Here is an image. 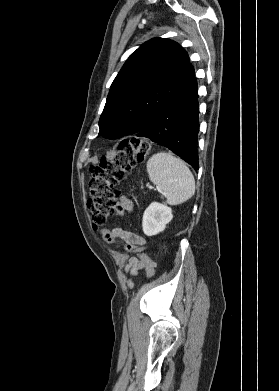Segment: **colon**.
Returning a JSON list of instances; mask_svg holds the SVG:
<instances>
[{"instance_id": "5ec220e1", "label": "colon", "mask_w": 279, "mask_h": 391, "mask_svg": "<svg viewBox=\"0 0 279 391\" xmlns=\"http://www.w3.org/2000/svg\"><path fill=\"white\" fill-rule=\"evenodd\" d=\"M149 153L150 145L146 141L139 138L127 139L118 145L111 157L103 158L99 164L90 168L88 208L95 227L103 225L110 217L122 215L123 207L117 203L120 191L116 187L126 173L142 163ZM102 235L107 242L116 239L108 230H104ZM125 248L132 252L138 251V247L131 243H125ZM139 258L145 263L148 275L153 277L155 263L143 253L139 254Z\"/></svg>"}]
</instances>
